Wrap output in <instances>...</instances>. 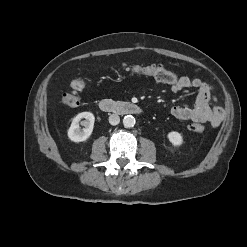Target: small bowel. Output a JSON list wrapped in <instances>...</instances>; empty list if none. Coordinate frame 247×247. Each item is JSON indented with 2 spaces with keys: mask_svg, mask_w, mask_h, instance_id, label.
<instances>
[{
  "mask_svg": "<svg viewBox=\"0 0 247 247\" xmlns=\"http://www.w3.org/2000/svg\"><path fill=\"white\" fill-rule=\"evenodd\" d=\"M189 88L198 91L195 105L193 107L174 106L171 109L172 116L179 120L207 123L213 128L218 127L224 119V111L220 106L211 104L212 101H216L211 84L200 78L182 76L176 84L171 85L174 93Z\"/></svg>",
  "mask_w": 247,
  "mask_h": 247,
  "instance_id": "obj_1",
  "label": "small bowel"
}]
</instances>
